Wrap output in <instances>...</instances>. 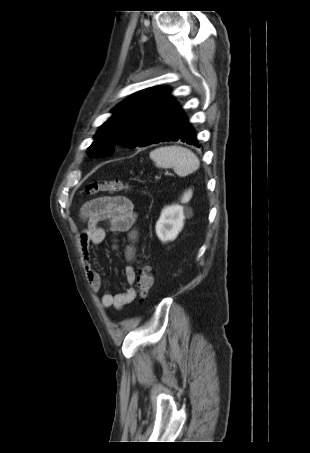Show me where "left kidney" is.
Returning a JSON list of instances; mask_svg holds the SVG:
<instances>
[{
    "label": "left kidney",
    "instance_id": "obj_1",
    "mask_svg": "<svg viewBox=\"0 0 310 453\" xmlns=\"http://www.w3.org/2000/svg\"><path fill=\"white\" fill-rule=\"evenodd\" d=\"M191 197L192 190L185 192L181 203H188ZM192 214L191 208L183 207L182 205L173 204L165 207L155 226L158 238L163 243L175 240L179 232L183 229L185 216H192Z\"/></svg>",
    "mask_w": 310,
    "mask_h": 453
}]
</instances>
